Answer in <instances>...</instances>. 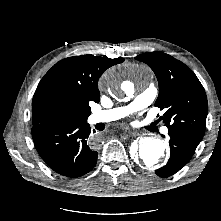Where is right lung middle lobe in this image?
<instances>
[{"instance_id":"dd1d6c3e","label":"right lung middle lobe","mask_w":221,"mask_h":221,"mask_svg":"<svg viewBox=\"0 0 221 221\" xmlns=\"http://www.w3.org/2000/svg\"><path fill=\"white\" fill-rule=\"evenodd\" d=\"M47 111L58 122L75 120L74 116L72 115L71 105L63 101H53L49 103L47 106ZM90 113L91 112H89L87 116L90 115Z\"/></svg>"}]
</instances>
